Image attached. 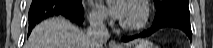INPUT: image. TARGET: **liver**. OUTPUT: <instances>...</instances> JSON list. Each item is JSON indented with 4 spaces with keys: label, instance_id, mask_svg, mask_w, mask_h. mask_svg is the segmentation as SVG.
I'll return each mask as SVG.
<instances>
[{
    "label": "liver",
    "instance_id": "6515ba94",
    "mask_svg": "<svg viewBox=\"0 0 213 48\" xmlns=\"http://www.w3.org/2000/svg\"><path fill=\"white\" fill-rule=\"evenodd\" d=\"M25 48H90V45L85 32L65 18L57 17L38 24L26 41Z\"/></svg>",
    "mask_w": 213,
    "mask_h": 48
}]
</instances>
